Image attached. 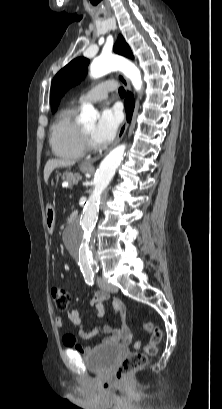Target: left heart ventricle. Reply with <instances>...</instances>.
I'll use <instances>...</instances> for the list:
<instances>
[{
    "instance_id": "1",
    "label": "left heart ventricle",
    "mask_w": 222,
    "mask_h": 409,
    "mask_svg": "<svg viewBox=\"0 0 222 409\" xmlns=\"http://www.w3.org/2000/svg\"><path fill=\"white\" fill-rule=\"evenodd\" d=\"M84 129H85L86 132L89 134V136H90V138H91V140H92V133H93V131H94V129H95V124L93 123V124L85 125V126H84ZM92 141H93V140H92Z\"/></svg>"
}]
</instances>
